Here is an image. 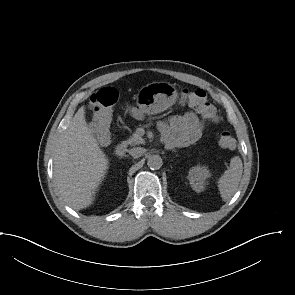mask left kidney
<instances>
[{"instance_id":"5707ae66","label":"left kidney","mask_w":295,"mask_h":295,"mask_svg":"<svg viewBox=\"0 0 295 295\" xmlns=\"http://www.w3.org/2000/svg\"><path fill=\"white\" fill-rule=\"evenodd\" d=\"M210 177V172L205 166H194L189 170L188 180L193 190L201 192L204 190L205 181Z\"/></svg>"}]
</instances>
